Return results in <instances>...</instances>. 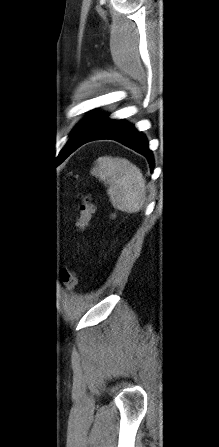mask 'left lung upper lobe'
Here are the masks:
<instances>
[{"instance_id":"left-lung-upper-lobe-1","label":"left lung upper lobe","mask_w":219,"mask_h":447,"mask_svg":"<svg viewBox=\"0 0 219 447\" xmlns=\"http://www.w3.org/2000/svg\"><path fill=\"white\" fill-rule=\"evenodd\" d=\"M106 120V116L94 115L85 120H83L76 128L72 131L71 137L67 142L66 146L62 149L59 156L65 154L72 145L81 142L86 139L89 135L93 134Z\"/></svg>"}]
</instances>
